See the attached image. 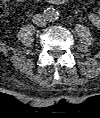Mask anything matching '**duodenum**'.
<instances>
[{"mask_svg":"<svg viewBox=\"0 0 100 118\" xmlns=\"http://www.w3.org/2000/svg\"><path fill=\"white\" fill-rule=\"evenodd\" d=\"M52 4H61L64 3L65 0H50Z\"/></svg>","mask_w":100,"mask_h":118,"instance_id":"410a0bca","label":"duodenum"}]
</instances>
